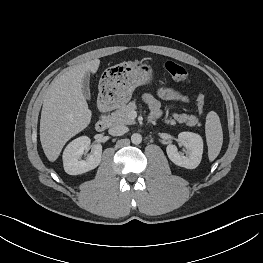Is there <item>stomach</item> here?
I'll return each mask as SVG.
<instances>
[{"label": "stomach", "instance_id": "0dacf381", "mask_svg": "<svg viewBox=\"0 0 263 263\" xmlns=\"http://www.w3.org/2000/svg\"><path fill=\"white\" fill-rule=\"evenodd\" d=\"M154 68L142 61L123 62L105 70L99 85V94L118 107L127 103L135 88L153 80Z\"/></svg>", "mask_w": 263, "mask_h": 263}]
</instances>
